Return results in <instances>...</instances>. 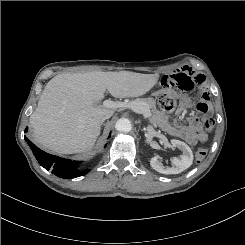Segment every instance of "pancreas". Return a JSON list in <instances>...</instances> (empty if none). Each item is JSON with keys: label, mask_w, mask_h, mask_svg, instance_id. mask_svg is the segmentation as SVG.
<instances>
[{"label": "pancreas", "mask_w": 245, "mask_h": 245, "mask_svg": "<svg viewBox=\"0 0 245 245\" xmlns=\"http://www.w3.org/2000/svg\"><path fill=\"white\" fill-rule=\"evenodd\" d=\"M135 103L137 106V109L135 112L137 113H143V111L148 108L149 110L155 109V100L152 98H146V99H135L133 101H130L129 103ZM134 111V110H133Z\"/></svg>", "instance_id": "1"}]
</instances>
